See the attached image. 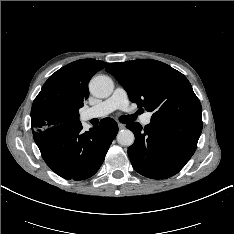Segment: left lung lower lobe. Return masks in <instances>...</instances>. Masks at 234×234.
<instances>
[{"label":"left lung lower lobe","mask_w":234,"mask_h":234,"mask_svg":"<svg viewBox=\"0 0 234 234\" xmlns=\"http://www.w3.org/2000/svg\"><path fill=\"white\" fill-rule=\"evenodd\" d=\"M201 118L151 121L143 129L127 124L135 135L128 148L133 168L151 179H166L178 173L194 154L202 132Z\"/></svg>","instance_id":"left-lung-lower-lobe-1"}]
</instances>
